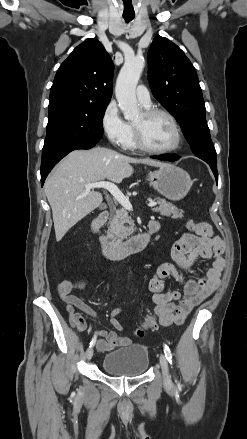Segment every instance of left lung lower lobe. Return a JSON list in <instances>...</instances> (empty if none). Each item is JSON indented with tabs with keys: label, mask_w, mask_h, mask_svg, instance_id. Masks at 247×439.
I'll use <instances>...</instances> for the list:
<instances>
[{
	"label": "left lung lower lobe",
	"mask_w": 247,
	"mask_h": 439,
	"mask_svg": "<svg viewBox=\"0 0 247 439\" xmlns=\"http://www.w3.org/2000/svg\"><path fill=\"white\" fill-rule=\"evenodd\" d=\"M152 158L159 159V160H162V161L174 162V161L178 160L180 157L175 155V154H165V155H160V156H154ZM212 171H213L214 176H215V178H216V180L218 182L217 169H212Z\"/></svg>",
	"instance_id": "obj_1"
}]
</instances>
